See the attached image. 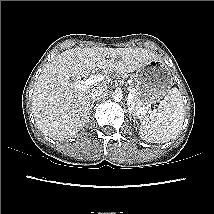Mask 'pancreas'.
<instances>
[{
  "instance_id": "1",
  "label": "pancreas",
  "mask_w": 214,
  "mask_h": 214,
  "mask_svg": "<svg viewBox=\"0 0 214 214\" xmlns=\"http://www.w3.org/2000/svg\"><path fill=\"white\" fill-rule=\"evenodd\" d=\"M122 77L125 76V74H120ZM130 93L133 95V97L135 98V95H136V88L133 87V86H130ZM131 110L134 112V113H138V111L145 107V106H142L140 103H136L135 100H133V103H131Z\"/></svg>"
}]
</instances>
